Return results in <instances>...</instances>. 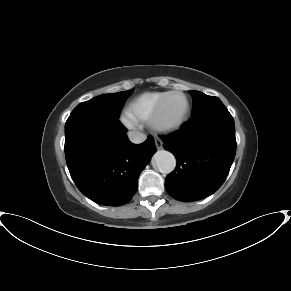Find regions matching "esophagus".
<instances>
[{"instance_id":"obj_1","label":"esophagus","mask_w":291,"mask_h":291,"mask_svg":"<svg viewBox=\"0 0 291 291\" xmlns=\"http://www.w3.org/2000/svg\"><path fill=\"white\" fill-rule=\"evenodd\" d=\"M155 146H156L157 149H162L163 148L162 141L159 140V139H156L155 140Z\"/></svg>"}]
</instances>
